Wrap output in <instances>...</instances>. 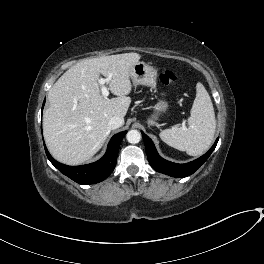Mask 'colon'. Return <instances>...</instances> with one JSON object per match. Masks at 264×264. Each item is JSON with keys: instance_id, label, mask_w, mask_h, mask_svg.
<instances>
[{"instance_id": "colon-1", "label": "colon", "mask_w": 264, "mask_h": 264, "mask_svg": "<svg viewBox=\"0 0 264 264\" xmlns=\"http://www.w3.org/2000/svg\"><path fill=\"white\" fill-rule=\"evenodd\" d=\"M159 78L163 84L168 85V86H173L177 83L176 75L169 70L161 72L159 75Z\"/></svg>"}]
</instances>
